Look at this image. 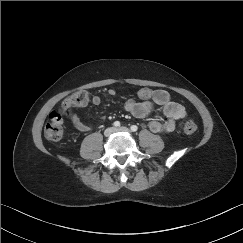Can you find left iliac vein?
I'll use <instances>...</instances> for the list:
<instances>
[{
  "mask_svg": "<svg viewBox=\"0 0 243 243\" xmlns=\"http://www.w3.org/2000/svg\"><path fill=\"white\" fill-rule=\"evenodd\" d=\"M114 132H116V133H118V132H127V133H130V130L127 127L122 126V127L116 128L114 130Z\"/></svg>",
  "mask_w": 243,
  "mask_h": 243,
  "instance_id": "4c4485c4",
  "label": "left iliac vein"
}]
</instances>
